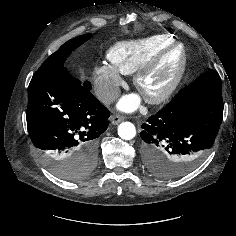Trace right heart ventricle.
Masks as SVG:
<instances>
[{
	"instance_id": "right-heart-ventricle-1",
	"label": "right heart ventricle",
	"mask_w": 236,
	"mask_h": 236,
	"mask_svg": "<svg viewBox=\"0 0 236 236\" xmlns=\"http://www.w3.org/2000/svg\"><path fill=\"white\" fill-rule=\"evenodd\" d=\"M165 34L151 35L138 40L120 42L107 52V58L118 72L131 75L150 57L173 43Z\"/></svg>"
}]
</instances>
